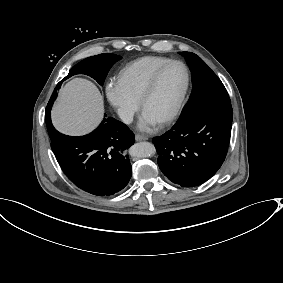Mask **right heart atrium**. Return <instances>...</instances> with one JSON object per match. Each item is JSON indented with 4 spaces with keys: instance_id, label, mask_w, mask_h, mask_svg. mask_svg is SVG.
Masks as SVG:
<instances>
[{
    "instance_id": "right-heart-atrium-1",
    "label": "right heart atrium",
    "mask_w": 283,
    "mask_h": 283,
    "mask_svg": "<svg viewBox=\"0 0 283 283\" xmlns=\"http://www.w3.org/2000/svg\"><path fill=\"white\" fill-rule=\"evenodd\" d=\"M105 94L110 105L124 122H129L138 108V101L131 98L119 79L111 78L105 85Z\"/></svg>"
}]
</instances>
